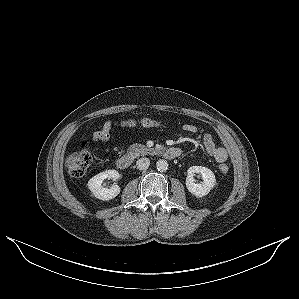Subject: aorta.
Segmentation results:
<instances>
[{
	"instance_id": "762f6f07",
	"label": "aorta",
	"mask_w": 299,
	"mask_h": 299,
	"mask_svg": "<svg viewBox=\"0 0 299 299\" xmlns=\"http://www.w3.org/2000/svg\"><path fill=\"white\" fill-rule=\"evenodd\" d=\"M156 167L158 171L164 172L168 168V163L167 161L161 159L156 162Z\"/></svg>"
}]
</instances>
